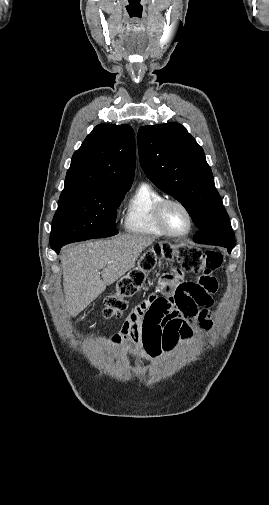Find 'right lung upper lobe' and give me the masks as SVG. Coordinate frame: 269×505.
Listing matches in <instances>:
<instances>
[{"mask_svg": "<svg viewBox=\"0 0 269 505\" xmlns=\"http://www.w3.org/2000/svg\"><path fill=\"white\" fill-rule=\"evenodd\" d=\"M135 162L133 129L129 125L100 124L73 154L64 190L128 191Z\"/></svg>", "mask_w": 269, "mask_h": 505, "instance_id": "right-lung-upper-lobe-1", "label": "right lung upper lobe"}]
</instances>
